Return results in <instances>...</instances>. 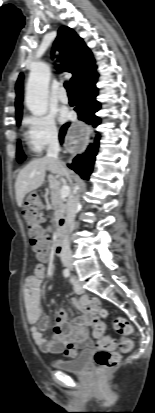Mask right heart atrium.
Wrapping results in <instances>:
<instances>
[{
    "instance_id": "right-heart-atrium-1",
    "label": "right heart atrium",
    "mask_w": 155,
    "mask_h": 413,
    "mask_svg": "<svg viewBox=\"0 0 155 413\" xmlns=\"http://www.w3.org/2000/svg\"><path fill=\"white\" fill-rule=\"evenodd\" d=\"M24 124L27 128L28 143L35 153H41L57 142L59 131L52 115H29L25 118Z\"/></svg>"
}]
</instances>
